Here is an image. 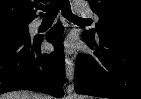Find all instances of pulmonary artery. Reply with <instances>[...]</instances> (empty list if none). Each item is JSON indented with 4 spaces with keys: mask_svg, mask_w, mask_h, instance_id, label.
<instances>
[{
    "mask_svg": "<svg viewBox=\"0 0 141 99\" xmlns=\"http://www.w3.org/2000/svg\"><path fill=\"white\" fill-rule=\"evenodd\" d=\"M75 9V12H77L78 14L80 15H83V16H91L92 14L89 12L88 9H86L85 7L81 6V5H76L74 7ZM94 17V20L98 21V17L97 16H93ZM40 21H35L33 26L34 27H39L40 26Z\"/></svg>",
    "mask_w": 141,
    "mask_h": 99,
    "instance_id": "e3ab8cb5",
    "label": "pulmonary artery"
}]
</instances>
